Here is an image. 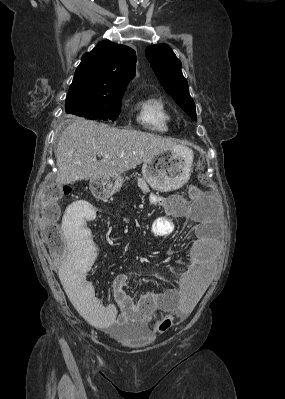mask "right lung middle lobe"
I'll return each instance as SVG.
<instances>
[{"instance_id":"1","label":"right lung middle lobe","mask_w":285,"mask_h":399,"mask_svg":"<svg viewBox=\"0 0 285 399\" xmlns=\"http://www.w3.org/2000/svg\"><path fill=\"white\" fill-rule=\"evenodd\" d=\"M123 94L124 91L111 96L67 95L65 110L91 120H115L120 113Z\"/></svg>"}]
</instances>
